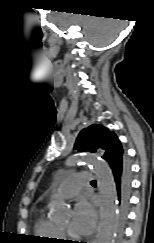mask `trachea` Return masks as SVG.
<instances>
[{
  "mask_svg": "<svg viewBox=\"0 0 154 243\" xmlns=\"http://www.w3.org/2000/svg\"><path fill=\"white\" fill-rule=\"evenodd\" d=\"M92 182H93V183H95L96 181H95V180H93Z\"/></svg>",
  "mask_w": 154,
  "mask_h": 243,
  "instance_id": "obj_1",
  "label": "trachea"
}]
</instances>
